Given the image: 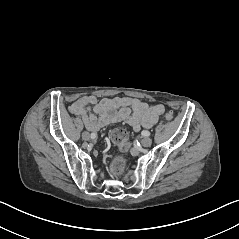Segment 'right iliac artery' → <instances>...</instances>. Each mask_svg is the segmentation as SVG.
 I'll list each match as a JSON object with an SVG mask.
<instances>
[{
    "mask_svg": "<svg viewBox=\"0 0 239 239\" xmlns=\"http://www.w3.org/2000/svg\"><path fill=\"white\" fill-rule=\"evenodd\" d=\"M91 138H92V139H95V138H96V134H95V133H92V134H91Z\"/></svg>",
    "mask_w": 239,
    "mask_h": 239,
    "instance_id": "right-iliac-artery-1",
    "label": "right iliac artery"
}]
</instances>
